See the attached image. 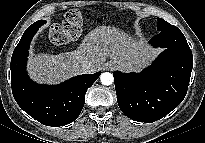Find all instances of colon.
Returning a JSON list of instances; mask_svg holds the SVG:
<instances>
[{
	"label": "colon",
	"instance_id": "5ec220e1",
	"mask_svg": "<svg viewBox=\"0 0 205 143\" xmlns=\"http://www.w3.org/2000/svg\"><path fill=\"white\" fill-rule=\"evenodd\" d=\"M82 14L76 8L65 12L64 20L61 24L49 26L48 34L51 41L55 44H68L78 39L82 28Z\"/></svg>",
	"mask_w": 205,
	"mask_h": 143
}]
</instances>
